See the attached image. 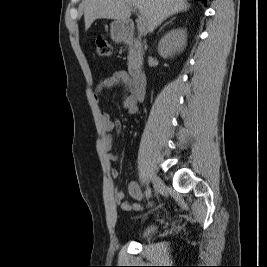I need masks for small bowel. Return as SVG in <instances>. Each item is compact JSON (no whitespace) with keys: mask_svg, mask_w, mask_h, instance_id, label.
<instances>
[{"mask_svg":"<svg viewBox=\"0 0 267 267\" xmlns=\"http://www.w3.org/2000/svg\"><path fill=\"white\" fill-rule=\"evenodd\" d=\"M120 85H123L127 90H130L132 86L130 77L124 70H118L112 75L102 78L95 89L94 96L98 100L103 90L112 89ZM122 105L128 115L135 114L138 111L137 100L132 94H126L123 97ZM101 119L104 131L102 146L107 154L108 160L115 162L118 160V156L112 151L114 142L113 133L121 130V123L118 120L112 119L110 114L105 111L102 112ZM109 175L112 179H116L119 173L116 169L111 168ZM128 193L135 200L141 201L143 199L141 187L135 181L128 184ZM113 197L115 203L119 204L125 211H139L141 209L139 203L125 201V193L121 190H115Z\"/></svg>","mask_w":267,"mask_h":267,"instance_id":"obj_1","label":"small bowel"}]
</instances>
